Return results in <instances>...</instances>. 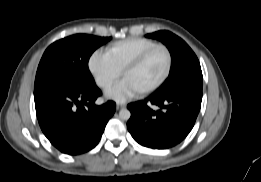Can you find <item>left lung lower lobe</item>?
I'll return each mask as SVG.
<instances>
[{
  "label": "left lung lower lobe",
  "mask_w": 261,
  "mask_h": 182,
  "mask_svg": "<svg viewBox=\"0 0 261 182\" xmlns=\"http://www.w3.org/2000/svg\"><path fill=\"white\" fill-rule=\"evenodd\" d=\"M201 100L202 85H193L166 96L152 94L127 106L131 112L127 128L143 146L170 148L180 143L193 128ZM151 104L159 109L153 110Z\"/></svg>",
  "instance_id": "0a47b994"
}]
</instances>
